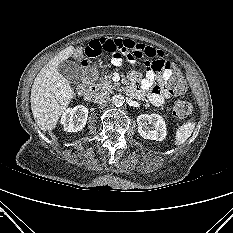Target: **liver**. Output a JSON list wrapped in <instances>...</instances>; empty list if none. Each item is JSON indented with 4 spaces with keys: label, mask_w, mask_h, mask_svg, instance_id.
Segmentation results:
<instances>
[{
    "label": "liver",
    "mask_w": 233,
    "mask_h": 233,
    "mask_svg": "<svg viewBox=\"0 0 233 233\" xmlns=\"http://www.w3.org/2000/svg\"><path fill=\"white\" fill-rule=\"evenodd\" d=\"M69 46L55 55L38 73L32 85L30 102L37 125L43 131L54 129L61 115L66 111L74 89L58 71V65L74 54Z\"/></svg>",
    "instance_id": "1"
}]
</instances>
